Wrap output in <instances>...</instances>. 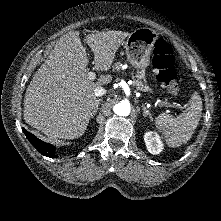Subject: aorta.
I'll return each instance as SVG.
<instances>
[{"label":"aorta","mask_w":221,"mask_h":221,"mask_svg":"<svg viewBox=\"0 0 221 221\" xmlns=\"http://www.w3.org/2000/svg\"><path fill=\"white\" fill-rule=\"evenodd\" d=\"M113 111L118 116H128L131 111L130 104L127 101H122L114 105Z\"/></svg>","instance_id":"aorta-1"}]
</instances>
